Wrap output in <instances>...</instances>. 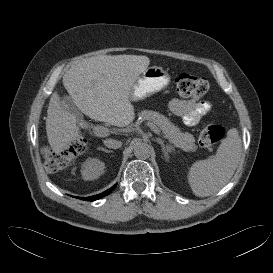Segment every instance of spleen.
<instances>
[{"mask_svg": "<svg viewBox=\"0 0 273 273\" xmlns=\"http://www.w3.org/2000/svg\"><path fill=\"white\" fill-rule=\"evenodd\" d=\"M241 148L238 131L230 129L213 158L199 160L190 167L187 179L193 193L207 197L219 191L233 176L240 161Z\"/></svg>", "mask_w": 273, "mask_h": 273, "instance_id": "obj_1", "label": "spleen"}]
</instances>
